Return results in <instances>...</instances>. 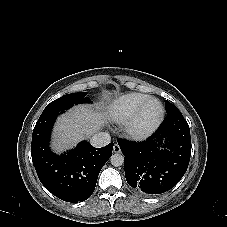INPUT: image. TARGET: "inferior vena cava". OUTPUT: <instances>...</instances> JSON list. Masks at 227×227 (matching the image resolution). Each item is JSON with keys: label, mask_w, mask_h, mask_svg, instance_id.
Returning <instances> with one entry per match:
<instances>
[{"label": "inferior vena cava", "mask_w": 227, "mask_h": 227, "mask_svg": "<svg viewBox=\"0 0 227 227\" xmlns=\"http://www.w3.org/2000/svg\"><path fill=\"white\" fill-rule=\"evenodd\" d=\"M111 141V137L108 133L106 132H98L92 136L90 139V143L94 147H104L107 144H109Z\"/></svg>", "instance_id": "inferior-vena-cava-1"}]
</instances>
